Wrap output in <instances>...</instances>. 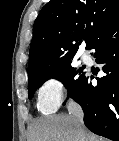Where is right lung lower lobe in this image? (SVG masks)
I'll list each match as a JSON object with an SVG mask.
<instances>
[{
    "instance_id": "obj_1",
    "label": "right lung lower lobe",
    "mask_w": 119,
    "mask_h": 141,
    "mask_svg": "<svg viewBox=\"0 0 119 141\" xmlns=\"http://www.w3.org/2000/svg\"><path fill=\"white\" fill-rule=\"evenodd\" d=\"M90 49L106 75L93 86V76L83 74L71 98L82 107L89 130L119 141V19L101 30Z\"/></svg>"
}]
</instances>
